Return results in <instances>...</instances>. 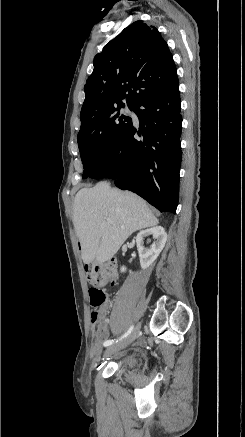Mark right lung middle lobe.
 Instances as JSON below:
<instances>
[{"mask_svg": "<svg viewBox=\"0 0 245 437\" xmlns=\"http://www.w3.org/2000/svg\"><path fill=\"white\" fill-rule=\"evenodd\" d=\"M124 104L107 108L81 125L78 146L83 163V176L89 177L106 160L123 132L131 124L132 118L120 112ZM133 110V105H128Z\"/></svg>", "mask_w": 245, "mask_h": 437, "instance_id": "dd1d6c3e", "label": "right lung middle lobe"}]
</instances>
